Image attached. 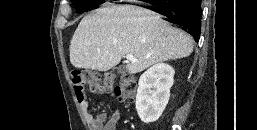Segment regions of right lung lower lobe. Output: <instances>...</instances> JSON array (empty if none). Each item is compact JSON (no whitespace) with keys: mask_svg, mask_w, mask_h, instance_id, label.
Segmentation results:
<instances>
[{"mask_svg":"<svg viewBox=\"0 0 257 130\" xmlns=\"http://www.w3.org/2000/svg\"><path fill=\"white\" fill-rule=\"evenodd\" d=\"M165 20L188 30L196 41L201 31V0H168L155 4Z\"/></svg>","mask_w":257,"mask_h":130,"instance_id":"right-lung-lower-lobe-1","label":"right lung lower lobe"}]
</instances>
